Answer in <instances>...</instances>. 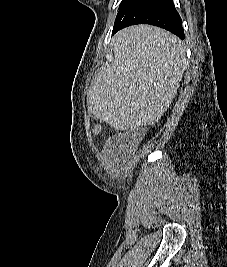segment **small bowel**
<instances>
[{
	"mask_svg": "<svg viewBox=\"0 0 227 267\" xmlns=\"http://www.w3.org/2000/svg\"><path fill=\"white\" fill-rule=\"evenodd\" d=\"M107 150H108L109 152L111 151V143H110V142L107 144Z\"/></svg>",
	"mask_w": 227,
	"mask_h": 267,
	"instance_id": "obj_1",
	"label": "small bowel"
}]
</instances>
